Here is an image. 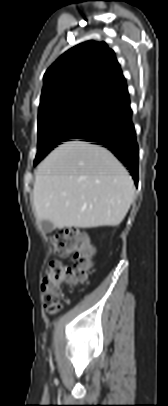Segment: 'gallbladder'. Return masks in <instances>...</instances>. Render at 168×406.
Here are the masks:
<instances>
[{
  "instance_id": "bac80fb5",
  "label": "gallbladder",
  "mask_w": 168,
  "mask_h": 406,
  "mask_svg": "<svg viewBox=\"0 0 168 406\" xmlns=\"http://www.w3.org/2000/svg\"><path fill=\"white\" fill-rule=\"evenodd\" d=\"M42 230L46 233L52 232L54 229L53 224L48 220L41 221Z\"/></svg>"
}]
</instances>
